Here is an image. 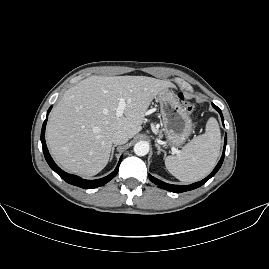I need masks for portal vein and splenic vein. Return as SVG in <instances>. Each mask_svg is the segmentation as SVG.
Instances as JSON below:
<instances>
[{
    "label": "portal vein and splenic vein",
    "mask_w": 269,
    "mask_h": 269,
    "mask_svg": "<svg viewBox=\"0 0 269 269\" xmlns=\"http://www.w3.org/2000/svg\"><path fill=\"white\" fill-rule=\"evenodd\" d=\"M127 107L126 101L124 99H120L119 105L116 110L117 116H122L124 109ZM150 125H153V122H150Z\"/></svg>",
    "instance_id": "18ae733b"
}]
</instances>
